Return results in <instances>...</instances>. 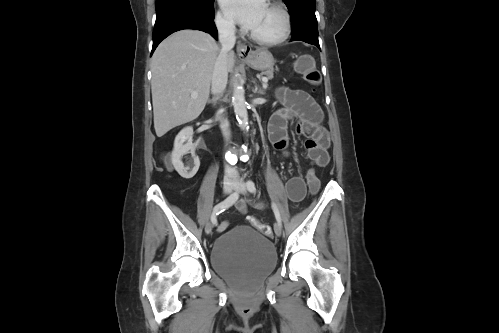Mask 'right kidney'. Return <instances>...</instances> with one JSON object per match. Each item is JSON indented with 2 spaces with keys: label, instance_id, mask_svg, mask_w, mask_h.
I'll use <instances>...</instances> for the list:
<instances>
[{
  "label": "right kidney",
  "instance_id": "obj_1",
  "mask_svg": "<svg viewBox=\"0 0 499 333\" xmlns=\"http://www.w3.org/2000/svg\"><path fill=\"white\" fill-rule=\"evenodd\" d=\"M193 128L185 127L182 129L175 138L174 149L172 152L171 160L175 170L178 174L185 178H192L198 171L200 166V160L195 155V147L192 143ZM191 153L193 158L192 165L184 166L182 162V156Z\"/></svg>",
  "mask_w": 499,
  "mask_h": 333
}]
</instances>
